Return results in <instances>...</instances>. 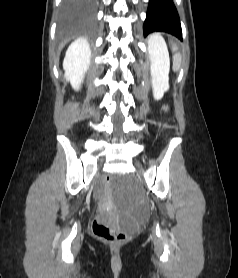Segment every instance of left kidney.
<instances>
[{
  "label": "left kidney",
  "mask_w": 238,
  "mask_h": 278,
  "mask_svg": "<svg viewBox=\"0 0 238 278\" xmlns=\"http://www.w3.org/2000/svg\"><path fill=\"white\" fill-rule=\"evenodd\" d=\"M154 98L159 100L169 89V53L164 39L153 36L148 40Z\"/></svg>",
  "instance_id": "left-kidney-1"
}]
</instances>
